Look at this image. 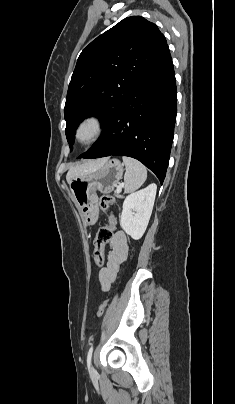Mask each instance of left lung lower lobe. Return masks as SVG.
Masks as SVG:
<instances>
[{
    "instance_id": "left-lung-lower-lobe-1",
    "label": "left lung lower lobe",
    "mask_w": 235,
    "mask_h": 404,
    "mask_svg": "<svg viewBox=\"0 0 235 404\" xmlns=\"http://www.w3.org/2000/svg\"><path fill=\"white\" fill-rule=\"evenodd\" d=\"M176 102L175 74L167 49L120 104L98 140L78 158L133 157L162 184L174 135Z\"/></svg>"
}]
</instances>
